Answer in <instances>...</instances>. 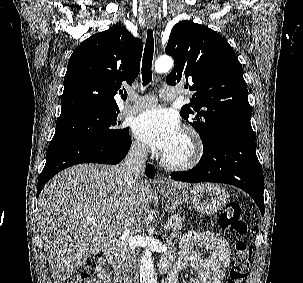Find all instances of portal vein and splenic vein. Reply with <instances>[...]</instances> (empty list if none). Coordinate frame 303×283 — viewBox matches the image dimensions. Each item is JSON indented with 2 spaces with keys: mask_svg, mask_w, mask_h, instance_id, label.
<instances>
[{
  "mask_svg": "<svg viewBox=\"0 0 303 283\" xmlns=\"http://www.w3.org/2000/svg\"><path fill=\"white\" fill-rule=\"evenodd\" d=\"M172 223V220H170L169 222H168V224H166L165 226H164V230H169L170 229V224Z\"/></svg>",
  "mask_w": 303,
  "mask_h": 283,
  "instance_id": "portal-vein-and-splenic-vein-1",
  "label": "portal vein and splenic vein"
}]
</instances>
